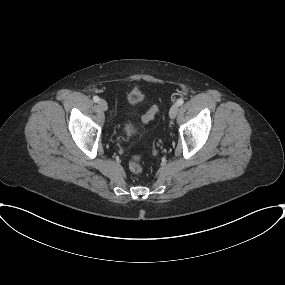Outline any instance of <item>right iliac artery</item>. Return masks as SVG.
<instances>
[{
  "mask_svg": "<svg viewBox=\"0 0 285 285\" xmlns=\"http://www.w3.org/2000/svg\"><path fill=\"white\" fill-rule=\"evenodd\" d=\"M93 100H94V102H98L99 101V97L98 96H94Z\"/></svg>",
  "mask_w": 285,
  "mask_h": 285,
  "instance_id": "82829eb1",
  "label": "right iliac artery"
}]
</instances>
